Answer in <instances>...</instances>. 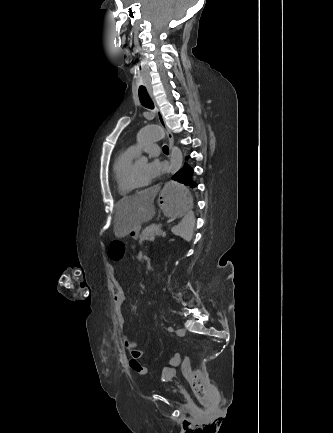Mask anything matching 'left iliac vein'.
Wrapping results in <instances>:
<instances>
[{"label":"left iliac vein","instance_id":"1","mask_svg":"<svg viewBox=\"0 0 333 433\" xmlns=\"http://www.w3.org/2000/svg\"><path fill=\"white\" fill-rule=\"evenodd\" d=\"M185 329H183V328H179V329H177V331H176V333H177V335L178 336H184L185 335Z\"/></svg>","mask_w":333,"mask_h":433}]
</instances>
